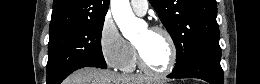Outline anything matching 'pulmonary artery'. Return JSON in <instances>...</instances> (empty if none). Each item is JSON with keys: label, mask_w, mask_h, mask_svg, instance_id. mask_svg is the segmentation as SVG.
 Segmentation results:
<instances>
[{"label": "pulmonary artery", "mask_w": 260, "mask_h": 84, "mask_svg": "<svg viewBox=\"0 0 260 84\" xmlns=\"http://www.w3.org/2000/svg\"><path fill=\"white\" fill-rule=\"evenodd\" d=\"M132 10L138 15H144L148 9L147 1H131L130 2Z\"/></svg>", "instance_id": "e3ab8cb5"}]
</instances>
